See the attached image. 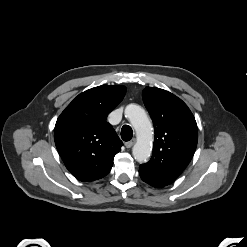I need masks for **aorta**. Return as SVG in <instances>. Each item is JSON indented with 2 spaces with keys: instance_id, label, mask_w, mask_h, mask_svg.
Instances as JSON below:
<instances>
[{
  "instance_id": "762f6f07",
  "label": "aorta",
  "mask_w": 247,
  "mask_h": 247,
  "mask_svg": "<svg viewBox=\"0 0 247 247\" xmlns=\"http://www.w3.org/2000/svg\"><path fill=\"white\" fill-rule=\"evenodd\" d=\"M125 115L136 131L137 142L132 154L135 160L142 163L149 159L152 151L153 127L145 110L136 104L125 108Z\"/></svg>"
}]
</instances>
